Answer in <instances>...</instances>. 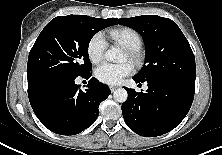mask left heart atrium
Listing matches in <instances>:
<instances>
[{
	"label": "left heart atrium",
	"instance_id": "39dd6f15",
	"mask_svg": "<svg viewBox=\"0 0 222 155\" xmlns=\"http://www.w3.org/2000/svg\"><path fill=\"white\" fill-rule=\"evenodd\" d=\"M133 72V66L130 63L113 64L105 62L96 69V77L99 81L115 85L119 84L126 76Z\"/></svg>",
	"mask_w": 222,
	"mask_h": 155
}]
</instances>
